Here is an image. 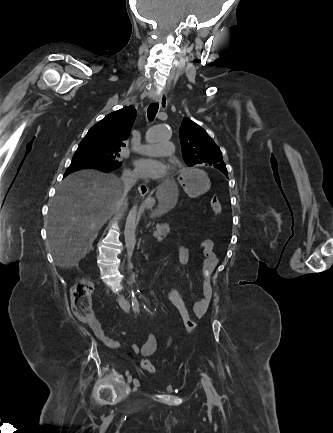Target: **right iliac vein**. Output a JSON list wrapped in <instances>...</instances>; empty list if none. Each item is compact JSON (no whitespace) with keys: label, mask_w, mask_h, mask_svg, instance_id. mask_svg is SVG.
<instances>
[{"label":"right iliac vein","mask_w":333,"mask_h":433,"mask_svg":"<svg viewBox=\"0 0 333 433\" xmlns=\"http://www.w3.org/2000/svg\"><path fill=\"white\" fill-rule=\"evenodd\" d=\"M127 381H128V383H130L132 381L131 375H128ZM133 383H134L133 391H136L138 389V387L140 386V383L137 379H134Z\"/></svg>","instance_id":"obj_1"}]
</instances>
